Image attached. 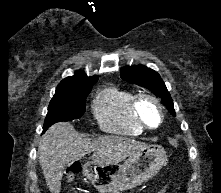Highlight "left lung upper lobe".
Segmentation results:
<instances>
[{
	"label": "left lung upper lobe",
	"mask_w": 221,
	"mask_h": 193,
	"mask_svg": "<svg viewBox=\"0 0 221 193\" xmlns=\"http://www.w3.org/2000/svg\"><path fill=\"white\" fill-rule=\"evenodd\" d=\"M121 78L127 82L145 87L152 91L156 96L162 99L168 111L173 116H176L172 98L157 72L141 65L132 67L127 66L121 69Z\"/></svg>",
	"instance_id": "obj_1"
}]
</instances>
